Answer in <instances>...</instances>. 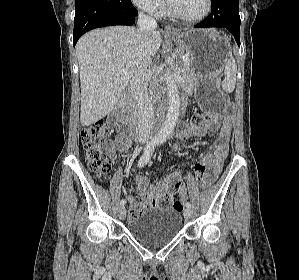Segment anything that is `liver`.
I'll list each match as a JSON object with an SVG mask.
<instances>
[{"instance_id":"1","label":"liver","mask_w":299,"mask_h":280,"mask_svg":"<svg viewBox=\"0 0 299 280\" xmlns=\"http://www.w3.org/2000/svg\"><path fill=\"white\" fill-rule=\"evenodd\" d=\"M161 43L158 31L143 43L139 29L128 26L96 29L79 39L82 126L92 125L114 109L136 69L157 54ZM123 69L127 74L118 75Z\"/></svg>"}]
</instances>
